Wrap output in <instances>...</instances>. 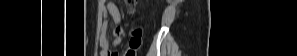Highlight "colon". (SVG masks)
I'll use <instances>...</instances> for the list:
<instances>
[{"mask_svg": "<svg viewBox=\"0 0 297 56\" xmlns=\"http://www.w3.org/2000/svg\"><path fill=\"white\" fill-rule=\"evenodd\" d=\"M126 4L128 6V11L130 13H134L136 10V5L137 1L135 0H127ZM142 45V38H141V30L140 29H135L132 31L127 48L125 51V56H136L139 49L141 48Z\"/></svg>", "mask_w": 297, "mask_h": 56, "instance_id": "5ec220e1", "label": "colon"}]
</instances>
